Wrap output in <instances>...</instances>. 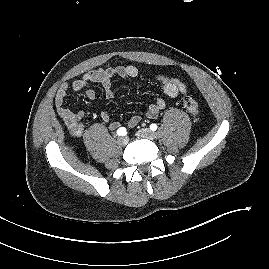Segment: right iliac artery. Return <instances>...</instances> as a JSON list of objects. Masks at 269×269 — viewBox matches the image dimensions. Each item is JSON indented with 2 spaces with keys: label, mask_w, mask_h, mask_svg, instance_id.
I'll use <instances>...</instances> for the list:
<instances>
[{
  "label": "right iliac artery",
  "mask_w": 269,
  "mask_h": 269,
  "mask_svg": "<svg viewBox=\"0 0 269 269\" xmlns=\"http://www.w3.org/2000/svg\"><path fill=\"white\" fill-rule=\"evenodd\" d=\"M126 129L124 128V127H121V128H119L118 130H117V134L119 135V136H123V135H126Z\"/></svg>",
  "instance_id": "82829eb1"
}]
</instances>
